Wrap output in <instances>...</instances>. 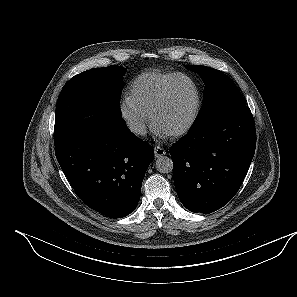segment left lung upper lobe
<instances>
[{"instance_id": "obj_1", "label": "left lung upper lobe", "mask_w": 297, "mask_h": 297, "mask_svg": "<svg viewBox=\"0 0 297 297\" xmlns=\"http://www.w3.org/2000/svg\"><path fill=\"white\" fill-rule=\"evenodd\" d=\"M185 67L198 73L205 84L204 104L192 127L202 125L206 120H212L225 110L246 105L238 87L223 72L200 65H185Z\"/></svg>"}]
</instances>
